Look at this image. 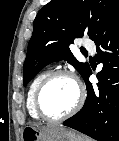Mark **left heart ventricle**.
<instances>
[{
  "label": "left heart ventricle",
  "mask_w": 119,
  "mask_h": 141,
  "mask_svg": "<svg viewBox=\"0 0 119 141\" xmlns=\"http://www.w3.org/2000/svg\"><path fill=\"white\" fill-rule=\"evenodd\" d=\"M77 99L74 82L66 76L52 80L43 90L40 104L43 112L49 117H58L68 112Z\"/></svg>",
  "instance_id": "b2bd125f"
}]
</instances>
